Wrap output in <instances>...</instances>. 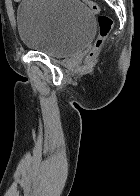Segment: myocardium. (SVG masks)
I'll return each instance as SVG.
<instances>
[{"mask_svg":"<svg viewBox=\"0 0 140 196\" xmlns=\"http://www.w3.org/2000/svg\"><path fill=\"white\" fill-rule=\"evenodd\" d=\"M36 192H44V191H36ZM55 192H64V191H55Z\"/></svg>","mask_w":140,"mask_h":196,"instance_id":"obj_1","label":"myocardium"}]
</instances>
